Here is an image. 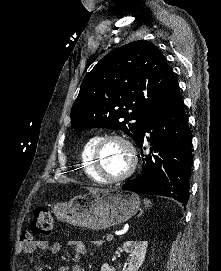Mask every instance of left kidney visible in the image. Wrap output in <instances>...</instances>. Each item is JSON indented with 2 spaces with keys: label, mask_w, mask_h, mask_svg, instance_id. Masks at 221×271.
<instances>
[{
  "label": "left kidney",
  "mask_w": 221,
  "mask_h": 271,
  "mask_svg": "<svg viewBox=\"0 0 221 271\" xmlns=\"http://www.w3.org/2000/svg\"><path fill=\"white\" fill-rule=\"evenodd\" d=\"M147 247L148 241H124L123 251L129 253V263L123 271H137L145 259ZM101 271H113V269L109 263H103Z\"/></svg>",
  "instance_id": "left-kidney-1"
}]
</instances>
